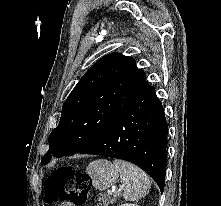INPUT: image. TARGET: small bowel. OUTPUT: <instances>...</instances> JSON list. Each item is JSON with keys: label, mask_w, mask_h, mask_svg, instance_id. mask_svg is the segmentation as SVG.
I'll list each match as a JSON object with an SVG mask.
<instances>
[{"label": "small bowel", "mask_w": 221, "mask_h": 206, "mask_svg": "<svg viewBox=\"0 0 221 206\" xmlns=\"http://www.w3.org/2000/svg\"><path fill=\"white\" fill-rule=\"evenodd\" d=\"M60 206H73V205H71L69 203H64V204H61Z\"/></svg>", "instance_id": "1"}]
</instances>
